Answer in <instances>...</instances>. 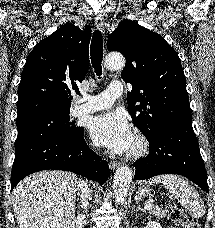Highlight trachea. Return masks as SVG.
Returning <instances> with one entry per match:
<instances>
[{
    "instance_id": "3493384b",
    "label": "trachea",
    "mask_w": 215,
    "mask_h": 228,
    "mask_svg": "<svg viewBox=\"0 0 215 228\" xmlns=\"http://www.w3.org/2000/svg\"><path fill=\"white\" fill-rule=\"evenodd\" d=\"M102 59H103V38L100 30H96L93 33L91 41V63L92 66L100 78L102 75Z\"/></svg>"
}]
</instances>
